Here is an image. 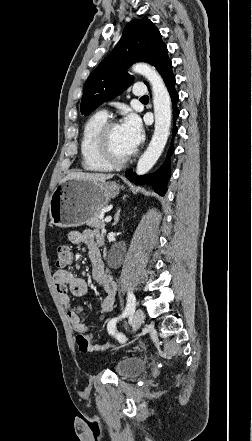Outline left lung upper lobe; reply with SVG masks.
Instances as JSON below:
<instances>
[{
    "mask_svg": "<svg viewBox=\"0 0 252 441\" xmlns=\"http://www.w3.org/2000/svg\"><path fill=\"white\" fill-rule=\"evenodd\" d=\"M166 48L159 30L147 17L127 23L119 43L86 80L81 114L89 115L133 82L126 71L128 66L141 61L156 67Z\"/></svg>",
    "mask_w": 252,
    "mask_h": 441,
    "instance_id": "5c2ea615",
    "label": "left lung upper lobe"
}]
</instances>
